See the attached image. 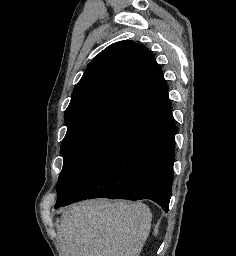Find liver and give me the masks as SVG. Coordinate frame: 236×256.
Returning <instances> with one entry per match:
<instances>
[{
	"label": "liver",
	"mask_w": 236,
	"mask_h": 256,
	"mask_svg": "<svg viewBox=\"0 0 236 256\" xmlns=\"http://www.w3.org/2000/svg\"><path fill=\"white\" fill-rule=\"evenodd\" d=\"M151 222L146 204L101 198L65 208L57 230L70 256H139Z\"/></svg>",
	"instance_id": "6515ba94"
}]
</instances>
